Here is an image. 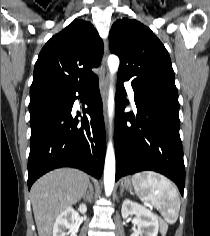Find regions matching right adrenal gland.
<instances>
[{
  "instance_id": "1",
  "label": "right adrenal gland",
  "mask_w": 210,
  "mask_h": 236,
  "mask_svg": "<svg viewBox=\"0 0 210 236\" xmlns=\"http://www.w3.org/2000/svg\"><path fill=\"white\" fill-rule=\"evenodd\" d=\"M92 197H93V186L91 183H89V191L84 194L83 198L88 202H91Z\"/></svg>"
}]
</instances>
